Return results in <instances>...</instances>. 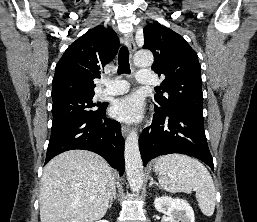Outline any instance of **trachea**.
<instances>
[{
  "label": "trachea",
  "instance_id": "trachea-1",
  "mask_svg": "<svg viewBox=\"0 0 257 222\" xmlns=\"http://www.w3.org/2000/svg\"><path fill=\"white\" fill-rule=\"evenodd\" d=\"M129 51L126 46H122L118 55V74H130Z\"/></svg>",
  "mask_w": 257,
  "mask_h": 222
}]
</instances>
